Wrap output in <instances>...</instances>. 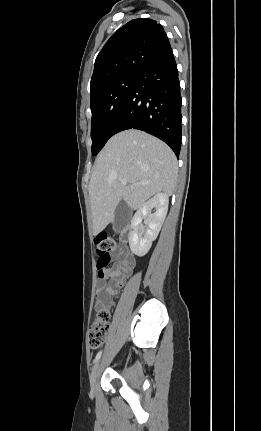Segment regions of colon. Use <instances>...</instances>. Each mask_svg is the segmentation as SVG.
I'll use <instances>...</instances> for the list:
<instances>
[{"instance_id": "5ec220e1", "label": "colon", "mask_w": 261, "mask_h": 431, "mask_svg": "<svg viewBox=\"0 0 261 431\" xmlns=\"http://www.w3.org/2000/svg\"><path fill=\"white\" fill-rule=\"evenodd\" d=\"M116 242L106 234H99L95 238V250L98 257V274L102 275L106 266L111 262L112 255L116 250ZM121 286V281L116 285ZM109 312L102 310L97 313L94 317L89 332L88 342L91 348L96 349L100 347L108 334L110 323H109Z\"/></svg>"}]
</instances>
